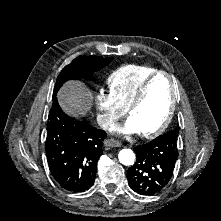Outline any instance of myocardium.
<instances>
[{
    "label": "myocardium",
    "mask_w": 221,
    "mask_h": 221,
    "mask_svg": "<svg viewBox=\"0 0 221 221\" xmlns=\"http://www.w3.org/2000/svg\"><path fill=\"white\" fill-rule=\"evenodd\" d=\"M161 76H165L170 82L171 101H170L169 110H168L163 122L156 129L148 131V132L140 133L141 136L145 137V138H154V137L160 135L161 133H163L165 131V129L168 127V125L174 115L176 104H177V97H176V92L174 89V79H173L172 75L169 74L168 72L162 71V70L153 73L150 77H148L140 85L136 94L131 99V101L125 106V109H124L125 114L130 117L133 110L136 109L137 107H139L143 103V101L147 95V92H148L151 84L154 82V80L157 79L158 77H161Z\"/></svg>",
    "instance_id": "obj_1"
}]
</instances>
